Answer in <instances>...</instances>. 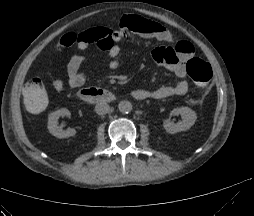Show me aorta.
I'll use <instances>...</instances> for the list:
<instances>
[{
  "instance_id": "obj_1",
  "label": "aorta",
  "mask_w": 254,
  "mask_h": 216,
  "mask_svg": "<svg viewBox=\"0 0 254 216\" xmlns=\"http://www.w3.org/2000/svg\"><path fill=\"white\" fill-rule=\"evenodd\" d=\"M118 109L121 113H129L132 110V103L127 100L119 102Z\"/></svg>"
}]
</instances>
